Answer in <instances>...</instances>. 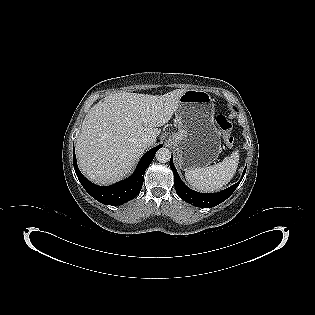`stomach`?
I'll list each match as a JSON object with an SVG mask.
<instances>
[{"instance_id":"0dacf381","label":"stomach","mask_w":315,"mask_h":315,"mask_svg":"<svg viewBox=\"0 0 315 315\" xmlns=\"http://www.w3.org/2000/svg\"><path fill=\"white\" fill-rule=\"evenodd\" d=\"M178 131L168 141L183 170L203 168L221 153V134L214 122V100L204 90H186L175 112Z\"/></svg>"}]
</instances>
